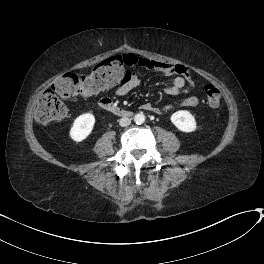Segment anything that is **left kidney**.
<instances>
[{
  "label": "left kidney",
  "mask_w": 264,
  "mask_h": 264,
  "mask_svg": "<svg viewBox=\"0 0 264 264\" xmlns=\"http://www.w3.org/2000/svg\"><path fill=\"white\" fill-rule=\"evenodd\" d=\"M171 122L182 132L196 130L195 117L187 110H180L171 115Z\"/></svg>",
  "instance_id": "obj_1"
}]
</instances>
